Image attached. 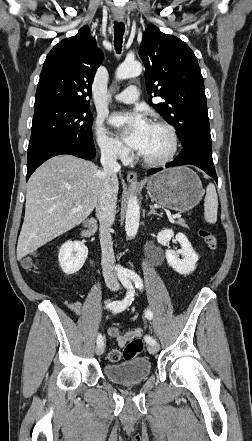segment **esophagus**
<instances>
[{
    "label": "esophagus",
    "instance_id": "34e87169",
    "mask_svg": "<svg viewBox=\"0 0 252 441\" xmlns=\"http://www.w3.org/2000/svg\"><path fill=\"white\" fill-rule=\"evenodd\" d=\"M117 21H118V22H122V21H123V18H117ZM127 180H128L129 182L136 183V182H137V173L134 172V171H130V172L128 173V175H127Z\"/></svg>",
    "mask_w": 252,
    "mask_h": 441
}]
</instances>
